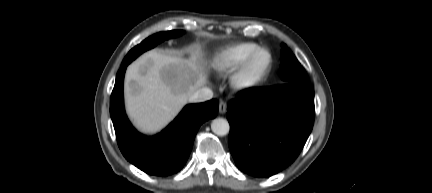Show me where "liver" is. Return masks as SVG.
Masks as SVG:
<instances>
[{"instance_id":"6515ba94","label":"liver","mask_w":432,"mask_h":193,"mask_svg":"<svg viewBox=\"0 0 432 193\" xmlns=\"http://www.w3.org/2000/svg\"><path fill=\"white\" fill-rule=\"evenodd\" d=\"M208 81L202 49L194 46L189 57L149 51L130 64L124 95L129 118L144 133L164 128Z\"/></svg>"}]
</instances>
